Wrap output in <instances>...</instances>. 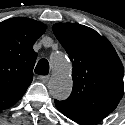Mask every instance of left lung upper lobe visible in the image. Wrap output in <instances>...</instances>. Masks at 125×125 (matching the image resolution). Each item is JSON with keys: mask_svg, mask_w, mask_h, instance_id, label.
<instances>
[{"mask_svg": "<svg viewBox=\"0 0 125 125\" xmlns=\"http://www.w3.org/2000/svg\"><path fill=\"white\" fill-rule=\"evenodd\" d=\"M53 32L73 65L72 93L64 101L55 100L57 109L74 115L114 111L124 94V70L112 44L77 23L54 24Z\"/></svg>", "mask_w": 125, "mask_h": 125, "instance_id": "5c2ea615", "label": "left lung upper lobe"}]
</instances>
